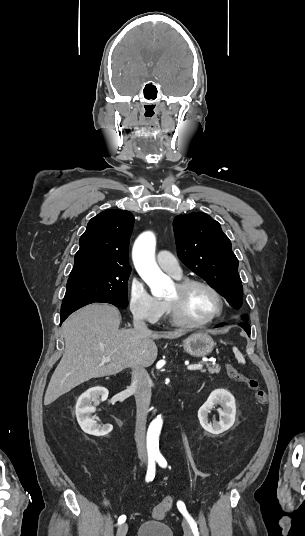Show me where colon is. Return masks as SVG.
Wrapping results in <instances>:
<instances>
[{
	"label": "colon",
	"mask_w": 305,
	"mask_h": 536,
	"mask_svg": "<svg viewBox=\"0 0 305 536\" xmlns=\"http://www.w3.org/2000/svg\"><path fill=\"white\" fill-rule=\"evenodd\" d=\"M226 375L239 383L245 384L254 393L257 403L263 405L267 402V392L264 390L257 379L249 377L240 372L232 364L227 363L224 367ZM173 505V499L171 495H166L164 499L159 502L152 510V515L155 518H163L170 511Z\"/></svg>",
	"instance_id": "obj_1"
}]
</instances>
